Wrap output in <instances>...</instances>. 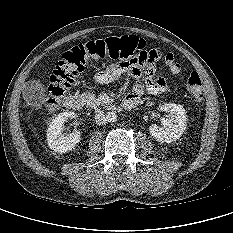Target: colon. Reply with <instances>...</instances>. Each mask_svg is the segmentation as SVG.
Listing matches in <instances>:
<instances>
[{"label": "colon", "instance_id": "colon-1", "mask_svg": "<svg viewBox=\"0 0 233 233\" xmlns=\"http://www.w3.org/2000/svg\"><path fill=\"white\" fill-rule=\"evenodd\" d=\"M143 48H149L143 39L133 35H124L89 41L65 51L53 70L50 83L45 90L47 104L55 107L61 101L76 77L84 71L88 62L111 60L114 65L117 62H123L126 58L135 57ZM164 67L172 73L180 72V66L173 61L169 53H167ZM185 83L191 96L196 101H201L203 84L199 74L189 73L185 76Z\"/></svg>", "mask_w": 233, "mask_h": 233}]
</instances>
